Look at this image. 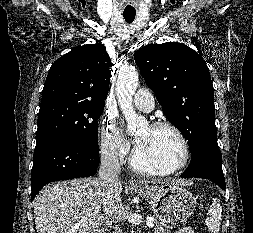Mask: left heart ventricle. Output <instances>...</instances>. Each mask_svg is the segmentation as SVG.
<instances>
[{
  "label": "left heart ventricle",
  "mask_w": 253,
  "mask_h": 233,
  "mask_svg": "<svg viewBox=\"0 0 253 233\" xmlns=\"http://www.w3.org/2000/svg\"><path fill=\"white\" fill-rule=\"evenodd\" d=\"M137 159L145 167L154 170H168L182 158V147L174 133L169 130L141 129L136 134Z\"/></svg>",
  "instance_id": "1"
}]
</instances>
